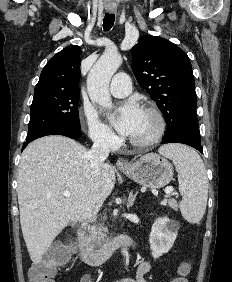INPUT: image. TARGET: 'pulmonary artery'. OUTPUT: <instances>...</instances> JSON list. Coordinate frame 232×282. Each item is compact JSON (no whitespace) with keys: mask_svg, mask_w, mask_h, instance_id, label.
I'll use <instances>...</instances> for the list:
<instances>
[{"mask_svg":"<svg viewBox=\"0 0 232 282\" xmlns=\"http://www.w3.org/2000/svg\"><path fill=\"white\" fill-rule=\"evenodd\" d=\"M110 94L117 98L126 97L131 92V80L124 72L117 73L110 83Z\"/></svg>","mask_w":232,"mask_h":282,"instance_id":"pulmonary-artery-1","label":"pulmonary artery"}]
</instances>
